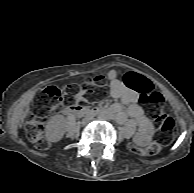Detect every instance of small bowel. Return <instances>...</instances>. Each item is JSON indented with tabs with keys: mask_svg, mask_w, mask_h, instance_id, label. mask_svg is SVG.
Here are the masks:
<instances>
[{
	"mask_svg": "<svg viewBox=\"0 0 194 193\" xmlns=\"http://www.w3.org/2000/svg\"><path fill=\"white\" fill-rule=\"evenodd\" d=\"M110 95L121 101V104L113 105V112L119 122H125L127 117H131L138 125L136 136L140 144H147L152 135V125L142 107L137 104V90L127 86L123 80L118 79L117 73H108ZM126 106V109L122 107Z\"/></svg>",
	"mask_w": 194,
	"mask_h": 193,
	"instance_id": "obj_1",
	"label": "small bowel"
}]
</instances>
